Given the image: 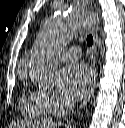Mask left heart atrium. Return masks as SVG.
<instances>
[{
	"label": "left heart atrium",
	"instance_id": "39dd6f15",
	"mask_svg": "<svg viewBox=\"0 0 125 128\" xmlns=\"http://www.w3.org/2000/svg\"><path fill=\"white\" fill-rule=\"evenodd\" d=\"M92 84V71L85 64H70L61 72L59 88L62 95L69 100L76 101L84 97Z\"/></svg>",
	"mask_w": 125,
	"mask_h": 128
}]
</instances>
